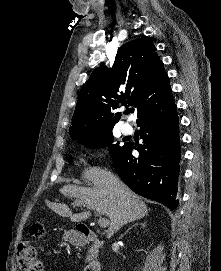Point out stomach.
<instances>
[{
	"label": "stomach",
	"instance_id": "0dacf381",
	"mask_svg": "<svg viewBox=\"0 0 221 271\" xmlns=\"http://www.w3.org/2000/svg\"><path fill=\"white\" fill-rule=\"evenodd\" d=\"M82 234L77 233V230H66L64 233V238H81Z\"/></svg>",
	"mask_w": 221,
	"mask_h": 271
}]
</instances>
